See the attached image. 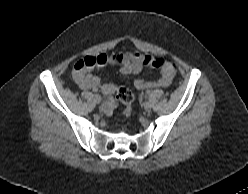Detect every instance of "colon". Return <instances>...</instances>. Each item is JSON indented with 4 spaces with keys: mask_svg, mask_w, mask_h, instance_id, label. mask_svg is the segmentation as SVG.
I'll use <instances>...</instances> for the list:
<instances>
[{
    "mask_svg": "<svg viewBox=\"0 0 248 194\" xmlns=\"http://www.w3.org/2000/svg\"><path fill=\"white\" fill-rule=\"evenodd\" d=\"M147 64H151L152 66L156 68H163L167 67L173 72L177 70V65L175 62L165 59L161 56H148L146 61ZM96 65L94 60L89 61H82L80 60L77 63V67L79 69H84L87 67H94ZM116 97L117 99L124 105L123 109V116L125 119H129L133 114V94L132 92L123 87V86H117L116 87Z\"/></svg>",
    "mask_w": 248,
    "mask_h": 194,
    "instance_id": "1",
    "label": "colon"
}]
</instances>
